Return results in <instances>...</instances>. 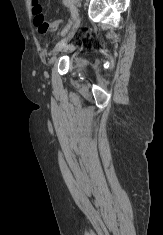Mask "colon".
Masks as SVG:
<instances>
[{
  "instance_id": "5ec220e1",
  "label": "colon",
  "mask_w": 163,
  "mask_h": 235,
  "mask_svg": "<svg viewBox=\"0 0 163 235\" xmlns=\"http://www.w3.org/2000/svg\"><path fill=\"white\" fill-rule=\"evenodd\" d=\"M34 23L40 33L57 30L60 26V20L48 21L43 12L39 0L32 1Z\"/></svg>"
}]
</instances>
